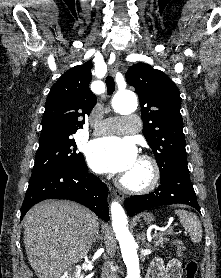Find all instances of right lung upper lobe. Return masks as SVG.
<instances>
[{"label": "right lung upper lobe", "instance_id": "obj_1", "mask_svg": "<svg viewBox=\"0 0 221 278\" xmlns=\"http://www.w3.org/2000/svg\"><path fill=\"white\" fill-rule=\"evenodd\" d=\"M91 68V62L75 66L52 86L45 103L39 142L67 137L83 128L85 116L97 102L89 90Z\"/></svg>", "mask_w": 221, "mask_h": 278}]
</instances>
